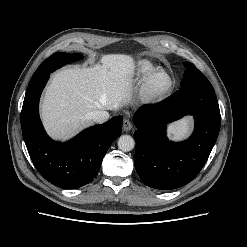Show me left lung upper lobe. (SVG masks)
Instances as JSON below:
<instances>
[{
	"label": "left lung upper lobe",
	"mask_w": 247,
	"mask_h": 247,
	"mask_svg": "<svg viewBox=\"0 0 247 247\" xmlns=\"http://www.w3.org/2000/svg\"><path fill=\"white\" fill-rule=\"evenodd\" d=\"M186 71L181 81V86L200 85L204 87H212L209 80L201 73L192 63H184Z\"/></svg>",
	"instance_id": "5c2ea615"
}]
</instances>
